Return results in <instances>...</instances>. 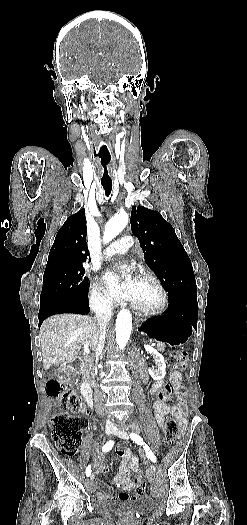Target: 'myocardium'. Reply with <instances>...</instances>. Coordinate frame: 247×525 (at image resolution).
I'll list each match as a JSON object with an SVG mask.
<instances>
[{"mask_svg": "<svg viewBox=\"0 0 247 525\" xmlns=\"http://www.w3.org/2000/svg\"><path fill=\"white\" fill-rule=\"evenodd\" d=\"M136 265L137 264L134 261V267H136ZM140 276L151 279L155 283L157 288L160 290L162 297H161V301L156 305H147V304H144L136 300L133 301L134 304L137 307H139L142 310V312H144L145 314H155V313L161 312L165 308L168 302V295H167V292L163 284L161 283L160 279L156 276V274L151 271L142 270L140 272Z\"/></svg>", "mask_w": 247, "mask_h": 525, "instance_id": "obj_1", "label": "myocardium"}]
</instances>
